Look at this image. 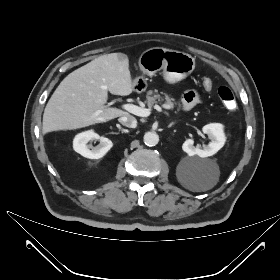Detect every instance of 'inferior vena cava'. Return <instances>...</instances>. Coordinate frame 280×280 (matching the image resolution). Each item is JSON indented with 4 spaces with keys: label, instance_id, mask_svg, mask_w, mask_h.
<instances>
[{
    "label": "inferior vena cava",
    "instance_id": "602c4592",
    "mask_svg": "<svg viewBox=\"0 0 280 280\" xmlns=\"http://www.w3.org/2000/svg\"><path fill=\"white\" fill-rule=\"evenodd\" d=\"M118 121L129 128H136L137 127V120L132 115L121 116Z\"/></svg>",
    "mask_w": 280,
    "mask_h": 280
}]
</instances>
